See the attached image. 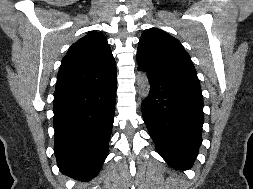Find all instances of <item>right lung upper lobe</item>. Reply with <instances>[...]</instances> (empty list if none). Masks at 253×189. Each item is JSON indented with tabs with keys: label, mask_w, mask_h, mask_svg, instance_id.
<instances>
[{
	"label": "right lung upper lobe",
	"mask_w": 253,
	"mask_h": 189,
	"mask_svg": "<svg viewBox=\"0 0 253 189\" xmlns=\"http://www.w3.org/2000/svg\"><path fill=\"white\" fill-rule=\"evenodd\" d=\"M115 72L116 63L105 36L89 32L69 48L56 84L97 82Z\"/></svg>",
	"instance_id": "obj_1"
}]
</instances>
